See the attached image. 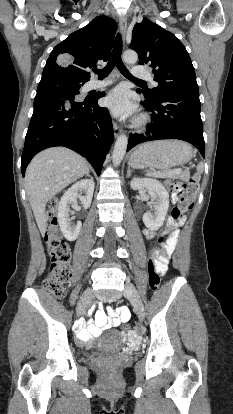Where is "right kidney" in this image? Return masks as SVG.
I'll use <instances>...</instances> for the list:
<instances>
[{
    "label": "right kidney",
    "instance_id": "1",
    "mask_svg": "<svg viewBox=\"0 0 233 414\" xmlns=\"http://www.w3.org/2000/svg\"><path fill=\"white\" fill-rule=\"evenodd\" d=\"M94 186L93 179L80 180L64 193L59 202L58 222L63 236L68 241L76 240L82 227L81 221H77L76 223L72 222L69 215V205H75L77 198H79L83 207L88 209L92 202Z\"/></svg>",
    "mask_w": 233,
    "mask_h": 414
}]
</instances>
